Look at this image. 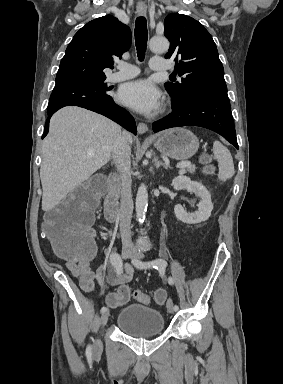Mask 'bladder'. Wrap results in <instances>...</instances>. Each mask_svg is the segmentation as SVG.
<instances>
[{
    "mask_svg": "<svg viewBox=\"0 0 283 384\" xmlns=\"http://www.w3.org/2000/svg\"><path fill=\"white\" fill-rule=\"evenodd\" d=\"M115 326L133 338L159 336L165 329L162 311L142 304L124 306L115 319Z\"/></svg>",
    "mask_w": 283,
    "mask_h": 384,
    "instance_id": "1",
    "label": "bladder"
}]
</instances>
